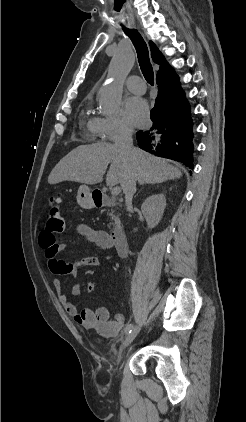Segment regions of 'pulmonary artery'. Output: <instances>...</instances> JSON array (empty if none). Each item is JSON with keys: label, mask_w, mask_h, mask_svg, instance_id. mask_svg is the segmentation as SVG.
I'll use <instances>...</instances> for the list:
<instances>
[{"label": "pulmonary artery", "mask_w": 246, "mask_h": 422, "mask_svg": "<svg viewBox=\"0 0 246 422\" xmlns=\"http://www.w3.org/2000/svg\"><path fill=\"white\" fill-rule=\"evenodd\" d=\"M126 87L133 93L143 94L146 91V86L144 81L136 75L129 76L126 79Z\"/></svg>", "instance_id": "pulmonary-artery-1"}]
</instances>
